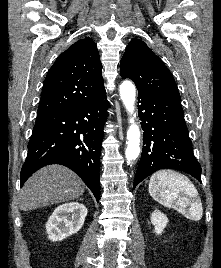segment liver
<instances>
[{
    "label": "liver",
    "mask_w": 221,
    "mask_h": 268,
    "mask_svg": "<svg viewBox=\"0 0 221 268\" xmlns=\"http://www.w3.org/2000/svg\"><path fill=\"white\" fill-rule=\"evenodd\" d=\"M85 184L70 169L51 165L34 173L19 194V208L29 211L51 204L62 203L83 195Z\"/></svg>",
    "instance_id": "1"
}]
</instances>
